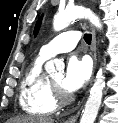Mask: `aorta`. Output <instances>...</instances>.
<instances>
[{
	"label": "aorta",
	"mask_w": 118,
	"mask_h": 123,
	"mask_svg": "<svg viewBox=\"0 0 118 123\" xmlns=\"http://www.w3.org/2000/svg\"><path fill=\"white\" fill-rule=\"evenodd\" d=\"M79 18L88 19L99 30H101L103 27L99 17L90 9L83 6H71L54 16L53 28L55 31L63 30L69 26L71 22ZM55 66L63 67L64 63L58 59L51 60L46 64V70L52 71L54 70ZM104 87V71L102 68H100L97 72L94 84L91 87L90 95L83 109L80 123H94L102 102Z\"/></svg>",
	"instance_id": "762f6f07"
}]
</instances>
